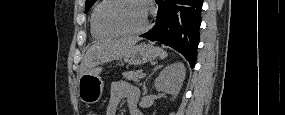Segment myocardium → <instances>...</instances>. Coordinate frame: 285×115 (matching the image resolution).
<instances>
[{"instance_id": "obj_1", "label": "myocardium", "mask_w": 285, "mask_h": 115, "mask_svg": "<svg viewBox=\"0 0 285 115\" xmlns=\"http://www.w3.org/2000/svg\"><path fill=\"white\" fill-rule=\"evenodd\" d=\"M119 1H126V0H104L100 2V4L97 6L95 13H94V20H95L96 25L102 31L114 34L116 36L134 37V36H139L145 33L147 29L149 28L150 16H151V11H152V8L147 0H131V1L140 2L145 8L144 25L139 30L133 31V32H126V31L117 29L115 27H112L110 25H107L106 23L103 22L102 17H101L103 8L109 3L119 2Z\"/></svg>"}]
</instances>
